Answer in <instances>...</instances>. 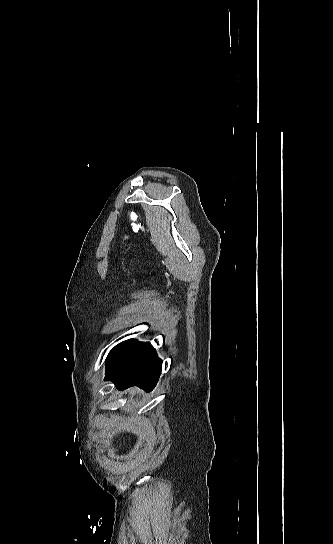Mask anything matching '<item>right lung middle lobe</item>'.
<instances>
[{
  "instance_id": "dd1d6c3e",
  "label": "right lung middle lobe",
  "mask_w": 333,
  "mask_h": 544,
  "mask_svg": "<svg viewBox=\"0 0 333 544\" xmlns=\"http://www.w3.org/2000/svg\"><path fill=\"white\" fill-rule=\"evenodd\" d=\"M133 342H135L134 339H130V340H127V341H124L120 344H118L117 346H115L111 352L109 353L108 357H107V362L112 359L114 356H116L117 354H119L120 352H122L123 350H125L129 345H131Z\"/></svg>"
}]
</instances>
